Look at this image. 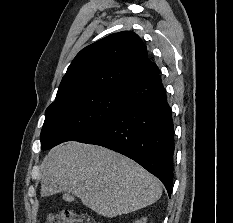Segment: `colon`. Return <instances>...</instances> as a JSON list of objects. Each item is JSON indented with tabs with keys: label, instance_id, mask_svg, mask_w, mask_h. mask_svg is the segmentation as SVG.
<instances>
[{
	"label": "colon",
	"instance_id": "1",
	"mask_svg": "<svg viewBox=\"0 0 233 223\" xmlns=\"http://www.w3.org/2000/svg\"><path fill=\"white\" fill-rule=\"evenodd\" d=\"M47 223H94L84 213H76L70 209H63L59 214H50Z\"/></svg>",
	"mask_w": 233,
	"mask_h": 223
}]
</instances>
